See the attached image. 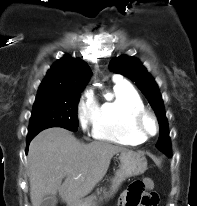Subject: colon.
<instances>
[{"label":"colon","mask_w":197,"mask_h":206,"mask_svg":"<svg viewBox=\"0 0 197 206\" xmlns=\"http://www.w3.org/2000/svg\"><path fill=\"white\" fill-rule=\"evenodd\" d=\"M152 185L153 181L151 179L133 182L127 190V201L129 206L156 205L157 195L154 192H147V189L151 188Z\"/></svg>","instance_id":"5ec220e1"}]
</instances>
